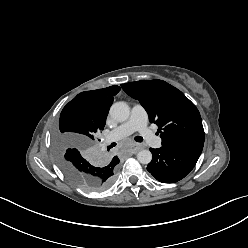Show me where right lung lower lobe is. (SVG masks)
<instances>
[{"label":"right lung lower lobe","instance_id":"right-lung-lower-lobe-1","mask_svg":"<svg viewBox=\"0 0 248 248\" xmlns=\"http://www.w3.org/2000/svg\"><path fill=\"white\" fill-rule=\"evenodd\" d=\"M73 149V148H72ZM74 152V151H73ZM73 152L72 153H70V154H68V157L69 158H71V159H74L73 157H74V154H73Z\"/></svg>","mask_w":248,"mask_h":248}]
</instances>
